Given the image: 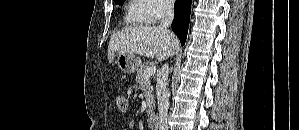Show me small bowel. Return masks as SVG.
Returning <instances> with one entry per match:
<instances>
[{"label":"small bowel","instance_id":"obj_1","mask_svg":"<svg viewBox=\"0 0 299 130\" xmlns=\"http://www.w3.org/2000/svg\"><path fill=\"white\" fill-rule=\"evenodd\" d=\"M135 127V122L133 120L128 121L127 126L124 130H131L134 129Z\"/></svg>","mask_w":299,"mask_h":130}]
</instances>
